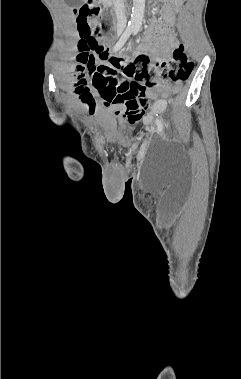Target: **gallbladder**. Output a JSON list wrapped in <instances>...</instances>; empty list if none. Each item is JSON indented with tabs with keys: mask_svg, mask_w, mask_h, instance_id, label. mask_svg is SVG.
Listing matches in <instances>:
<instances>
[{
	"mask_svg": "<svg viewBox=\"0 0 241 379\" xmlns=\"http://www.w3.org/2000/svg\"><path fill=\"white\" fill-rule=\"evenodd\" d=\"M72 3H75L76 0H70ZM81 1V0H80Z\"/></svg>",
	"mask_w": 241,
	"mask_h": 379,
	"instance_id": "obj_1",
	"label": "gallbladder"
}]
</instances>
